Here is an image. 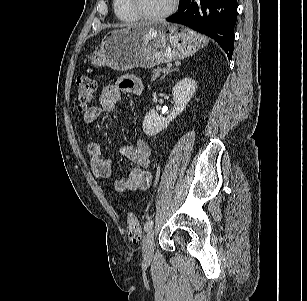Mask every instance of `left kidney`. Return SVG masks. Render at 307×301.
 Wrapping results in <instances>:
<instances>
[{
	"label": "left kidney",
	"mask_w": 307,
	"mask_h": 301,
	"mask_svg": "<svg viewBox=\"0 0 307 301\" xmlns=\"http://www.w3.org/2000/svg\"><path fill=\"white\" fill-rule=\"evenodd\" d=\"M195 90L196 83L190 77H185L176 83L172 88L173 101L175 103L173 111L165 118L159 116L154 109L149 110L142 124L144 133L148 136H153L167 128L169 123L186 108Z\"/></svg>",
	"instance_id": "obj_1"
}]
</instances>
